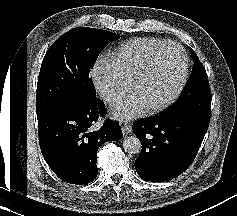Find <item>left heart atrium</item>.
Returning a JSON list of instances; mask_svg holds the SVG:
<instances>
[{"instance_id": "39dd6f15", "label": "left heart atrium", "mask_w": 237, "mask_h": 216, "mask_svg": "<svg viewBox=\"0 0 237 216\" xmlns=\"http://www.w3.org/2000/svg\"><path fill=\"white\" fill-rule=\"evenodd\" d=\"M142 114V105L133 98L120 100L112 107V118L116 121L131 122Z\"/></svg>"}]
</instances>
